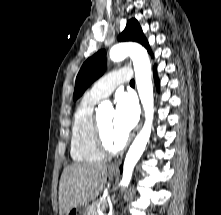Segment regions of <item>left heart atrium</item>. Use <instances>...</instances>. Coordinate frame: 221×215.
Masks as SVG:
<instances>
[{
  "instance_id": "obj_1",
  "label": "left heart atrium",
  "mask_w": 221,
  "mask_h": 215,
  "mask_svg": "<svg viewBox=\"0 0 221 215\" xmlns=\"http://www.w3.org/2000/svg\"><path fill=\"white\" fill-rule=\"evenodd\" d=\"M138 118L139 110L135 98L128 93H119L116 96L113 117L115 132L122 138H126L137 124Z\"/></svg>"
}]
</instances>
